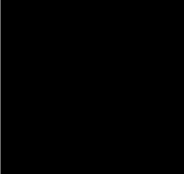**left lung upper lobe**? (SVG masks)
Returning <instances> with one entry per match:
<instances>
[{
	"label": "left lung upper lobe",
	"instance_id": "5c2ea615",
	"mask_svg": "<svg viewBox=\"0 0 184 174\" xmlns=\"http://www.w3.org/2000/svg\"><path fill=\"white\" fill-rule=\"evenodd\" d=\"M116 98L126 108L125 125L166 133L173 112L171 88L137 50L124 48L112 62Z\"/></svg>",
	"mask_w": 184,
	"mask_h": 174
}]
</instances>
